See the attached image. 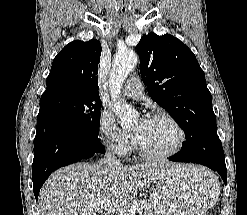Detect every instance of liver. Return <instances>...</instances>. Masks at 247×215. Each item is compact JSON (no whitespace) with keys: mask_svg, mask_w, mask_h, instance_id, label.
<instances>
[{"mask_svg":"<svg viewBox=\"0 0 247 215\" xmlns=\"http://www.w3.org/2000/svg\"><path fill=\"white\" fill-rule=\"evenodd\" d=\"M177 166L180 165L170 162L116 168L102 162L72 164L48 178L39 193L40 211L42 215H96L93 205L101 199L124 207L164 169Z\"/></svg>","mask_w":247,"mask_h":215,"instance_id":"1","label":"liver"}]
</instances>
